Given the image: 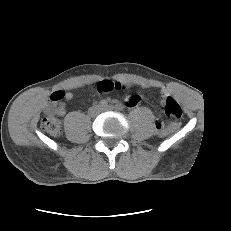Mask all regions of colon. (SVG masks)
Masks as SVG:
<instances>
[{"label": "colon", "mask_w": 231, "mask_h": 231, "mask_svg": "<svg viewBox=\"0 0 231 231\" xmlns=\"http://www.w3.org/2000/svg\"><path fill=\"white\" fill-rule=\"evenodd\" d=\"M95 88L99 92H110L112 90L125 89L119 83L113 82L110 80H103V81L98 82ZM58 99H60V94L53 93L51 96V101H56ZM164 111L168 117H171L173 119H179L182 116V109H181L180 104L178 103L176 99L170 96L166 97L165 99ZM41 125H42V128L51 136H59L60 131H61L60 122L55 116L48 115L44 117L42 119ZM156 127L160 135L166 134L167 130L164 128L161 122H158Z\"/></svg>", "instance_id": "obj_1"}]
</instances>
